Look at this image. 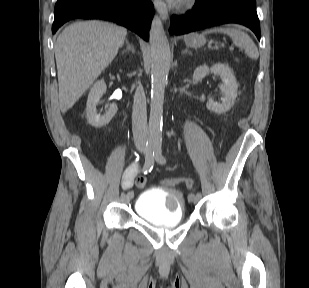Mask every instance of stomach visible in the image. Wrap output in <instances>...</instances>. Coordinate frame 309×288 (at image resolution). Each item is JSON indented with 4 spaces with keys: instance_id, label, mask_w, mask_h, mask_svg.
Returning <instances> with one entry per match:
<instances>
[{
    "instance_id": "obj_1",
    "label": "stomach",
    "mask_w": 309,
    "mask_h": 288,
    "mask_svg": "<svg viewBox=\"0 0 309 288\" xmlns=\"http://www.w3.org/2000/svg\"><path fill=\"white\" fill-rule=\"evenodd\" d=\"M185 44L188 47L198 48L206 43V39L202 35L191 33L184 37Z\"/></svg>"
}]
</instances>
